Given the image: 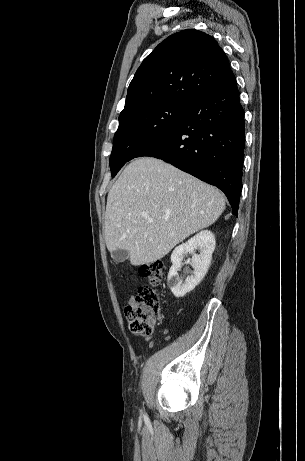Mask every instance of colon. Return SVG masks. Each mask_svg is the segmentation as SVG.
I'll list each match as a JSON object with an SVG mask.
<instances>
[{"mask_svg":"<svg viewBox=\"0 0 305 461\" xmlns=\"http://www.w3.org/2000/svg\"><path fill=\"white\" fill-rule=\"evenodd\" d=\"M166 265L163 261H153L143 265L139 272L147 278L149 285L139 288L137 295L125 307L129 328L136 334H151L162 320L160 292L158 286L164 277Z\"/></svg>","mask_w":305,"mask_h":461,"instance_id":"obj_1","label":"colon"}]
</instances>
